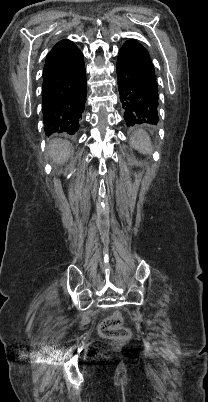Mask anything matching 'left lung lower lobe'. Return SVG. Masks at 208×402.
<instances>
[{"label": "left lung lower lobe", "mask_w": 208, "mask_h": 402, "mask_svg": "<svg viewBox=\"0 0 208 402\" xmlns=\"http://www.w3.org/2000/svg\"><path fill=\"white\" fill-rule=\"evenodd\" d=\"M116 67L127 126L157 124L158 85L147 50L135 40L126 41L119 50Z\"/></svg>", "instance_id": "left-lung-lower-lobe-1"}]
</instances>
